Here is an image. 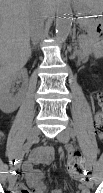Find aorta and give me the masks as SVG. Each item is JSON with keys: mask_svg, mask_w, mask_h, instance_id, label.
I'll list each match as a JSON object with an SVG mask.
<instances>
[{"mask_svg": "<svg viewBox=\"0 0 103 193\" xmlns=\"http://www.w3.org/2000/svg\"><path fill=\"white\" fill-rule=\"evenodd\" d=\"M72 26V9L70 0H59L56 12V39L63 42L67 39Z\"/></svg>", "mask_w": 103, "mask_h": 193, "instance_id": "aorta-1", "label": "aorta"}]
</instances>
